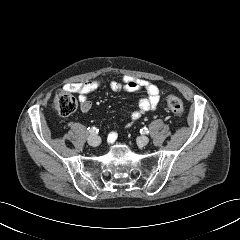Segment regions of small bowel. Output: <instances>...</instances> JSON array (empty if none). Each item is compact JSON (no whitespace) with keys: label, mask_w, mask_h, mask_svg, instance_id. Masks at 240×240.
Returning a JSON list of instances; mask_svg holds the SVG:
<instances>
[{"label":"small bowel","mask_w":240,"mask_h":240,"mask_svg":"<svg viewBox=\"0 0 240 240\" xmlns=\"http://www.w3.org/2000/svg\"><path fill=\"white\" fill-rule=\"evenodd\" d=\"M102 85L103 80L90 79L81 83L69 84L67 89L78 94L81 111L87 113L92 106L88 98L89 95L102 87ZM108 86L115 92L145 91L146 95L139 99L138 106L130 114L129 125L137 122L144 114L155 110L161 101L158 87L145 79L125 76L122 81L110 80ZM107 138L109 143H113L117 138V133L111 131Z\"/></svg>","instance_id":"c3829d8e"}]
</instances>
